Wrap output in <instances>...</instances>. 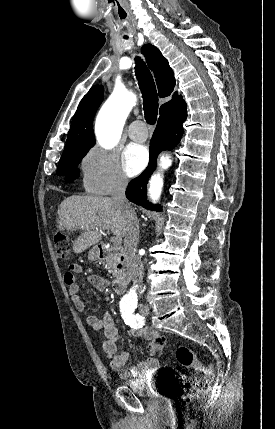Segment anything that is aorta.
<instances>
[{
    "label": "aorta",
    "instance_id": "obj_1",
    "mask_svg": "<svg viewBox=\"0 0 275 429\" xmlns=\"http://www.w3.org/2000/svg\"><path fill=\"white\" fill-rule=\"evenodd\" d=\"M133 103V95L115 93L102 107L96 122L97 139L101 146L109 149L118 143L126 117ZM167 165H169L168 160L162 163L163 168H165ZM162 187V176L160 174L154 175L150 180L149 187V196L152 201H157L159 199ZM124 300L127 303H131L133 300V294L130 292L124 297Z\"/></svg>",
    "mask_w": 275,
    "mask_h": 429
}]
</instances>
